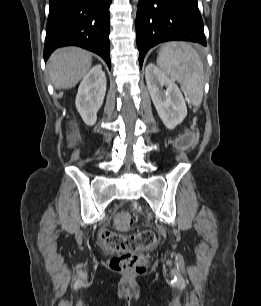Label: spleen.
<instances>
[{"label":"spleen","mask_w":261,"mask_h":306,"mask_svg":"<svg viewBox=\"0 0 261 306\" xmlns=\"http://www.w3.org/2000/svg\"><path fill=\"white\" fill-rule=\"evenodd\" d=\"M157 65L172 80L181 84L185 98L199 107L204 88L203 63L195 49L184 42H170L159 51Z\"/></svg>","instance_id":"3e777b00"}]
</instances>
